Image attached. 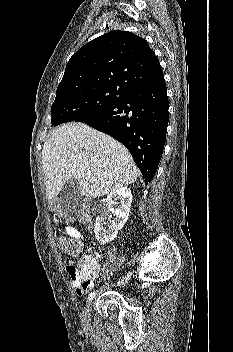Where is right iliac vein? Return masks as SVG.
I'll use <instances>...</instances> for the list:
<instances>
[{"label": "right iliac vein", "mask_w": 233, "mask_h": 352, "mask_svg": "<svg viewBox=\"0 0 233 352\" xmlns=\"http://www.w3.org/2000/svg\"><path fill=\"white\" fill-rule=\"evenodd\" d=\"M92 307H93V301L91 300L87 306L85 307L84 311H83V315H82V324L84 326L88 325L89 323V319H90V313L92 311Z\"/></svg>", "instance_id": "1"}]
</instances>
